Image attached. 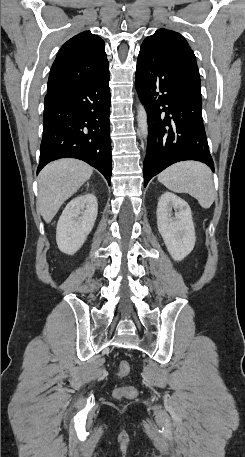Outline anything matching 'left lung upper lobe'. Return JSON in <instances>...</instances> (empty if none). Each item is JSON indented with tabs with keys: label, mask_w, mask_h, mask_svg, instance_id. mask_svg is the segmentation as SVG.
Listing matches in <instances>:
<instances>
[{
	"label": "left lung upper lobe",
	"mask_w": 245,
	"mask_h": 457,
	"mask_svg": "<svg viewBox=\"0 0 245 457\" xmlns=\"http://www.w3.org/2000/svg\"><path fill=\"white\" fill-rule=\"evenodd\" d=\"M161 47L171 49L188 75L200 85L195 55L181 34L167 29H159L143 41L140 51H153Z\"/></svg>",
	"instance_id": "1"
}]
</instances>
